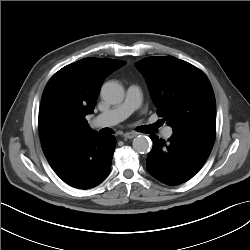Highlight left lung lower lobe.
Listing matches in <instances>:
<instances>
[{"instance_id":"0a47b994","label":"left lung lower lobe","mask_w":250,"mask_h":250,"mask_svg":"<svg viewBox=\"0 0 250 250\" xmlns=\"http://www.w3.org/2000/svg\"><path fill=\"white\" fill-rule=\"evenodd\" d=\"M150 137L153 147L147 155V171L167 185H179L193 177L215 141L214 133L173 132L167 142L154 134Z\"/></svg>"}]
</instances>
